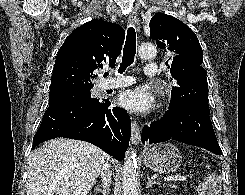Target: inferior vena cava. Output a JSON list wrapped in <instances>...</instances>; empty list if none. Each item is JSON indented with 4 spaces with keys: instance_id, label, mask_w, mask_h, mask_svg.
Segmentation results:
<instances>
[{
    "instance_id": "inferior-vena-cava-1",
    "label": "inferior vena cava",
    "mask_w": 245,
    "mask_h": 195,
    "mask_svg": "<svg viewBox=\"0 0 245 195\" xmlns=\"http://www.w3.org/2000/svg\"><path fill=\"white\" fill-rule=\"evenodd\" d=\"M101 177H102V182H103L102 193L103 195H107V192H109V186L111 183V172L109 170L108 162H106L102 167Z\"/></svg>"
}]
</instances>
